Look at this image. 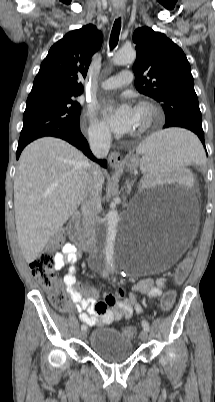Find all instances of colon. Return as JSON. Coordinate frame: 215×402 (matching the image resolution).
<instances>
[{
	"mask_svg": "<svg viewBox=\"0 0 215 402\" xmlns=\"http://www.w3.org/2000/svg\"><path fill=\"white\" fill-rule=\"evenodd\" d=\"M63 242V235L56 234L49 242L48 248L41 252L30 264L33 276L36 280L47 289L49 298L53 306L64 311L67 307V299L58 280L57 271L55 269V258L53 250L59 247ZM197 259L196 251H187L186 259H184L176 269L174 276L177 282H182L190 268L192 260ZM176 298L173 290L166 291L161 299L160 306L163 310H169ZM123 334L130 339L137 335V329L134 326H127L123 329Z\"/></svg>",
	"mask_w": 215,
	"mask_h": 402,
	"instance_id": "obj_1",
	"label": "colon"
}]
</instances>
